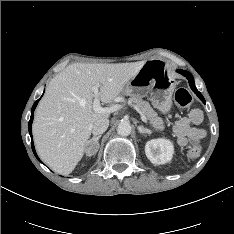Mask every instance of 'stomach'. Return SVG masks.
Listing matches in <instances>:
<instances>
[{
    "label": "stomach",
    "instance_id": "stomach-1",
    "mask_svg": "<svg viewBox=\"0 0 234 234\" xmlns=\"http://www.w3.org/2000/svg\"><path fill=\"white\" fill-rule=\"evenodd\" d=\"M176 81L161 61H146L138 73L124 87L122 93L134 97L150 95L154 107L167 113L172 106Z\"/></svg>",
    "mask_w": 234,
    "mask_h": 234
}]
</instances>
